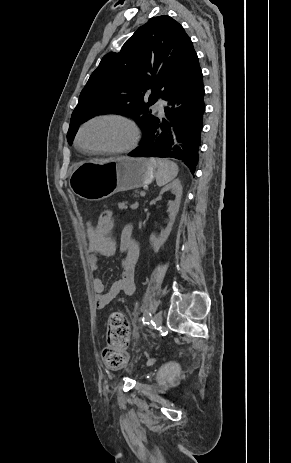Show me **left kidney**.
Listing matches in <instances>:
<instances>
[{"label": "left kidney", "mask_w": 291, "mask_h": 463, "mask_svg": "<svg viewBox=\"0 0 291 463\" xmlns=\"http://www.w3.org/2000/svg\"><path fill=\"white\" fill-rule=\"evenodd\" d=\"M166 191H171L176 196V198L173 202L169 204V208H168L169 222H168L167 227L161 231L159 236H156L155 234H152L150 236L151 245L155 252H158L160 247L163 246V244L168 239L170 232L172 230V226L174 224L176 215L179 211V206H180V201H181V196H182L181 182L178 179L174 180L173 182H171L170 184L162 188L160 194H163Z\"/></svg>", "instance_id": "obj_1"}]
</instances>
